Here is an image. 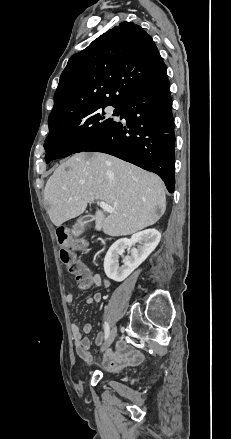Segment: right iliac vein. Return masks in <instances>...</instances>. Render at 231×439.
Returning <instances> with one entry per match:
<instances>
[{
  "instance_id": "1",
  "label": "right iliac vein",
  "mask_w": 231,
  "mask_h": 439,
  "mask_svg": "<svg viewBox=\"0 0 231 439\" xmlns=\"http://www.w3.org/2000/svg\"><path fill=\"white\" fill-rule=\"evenodd\" d=\"M116 334H117V327L113 326L110 333H109V336L106 340V343L102 347L101 351L106 350L112 344V342L114 341V339L116 337Z\"/></svg>"
}]
</instances>
